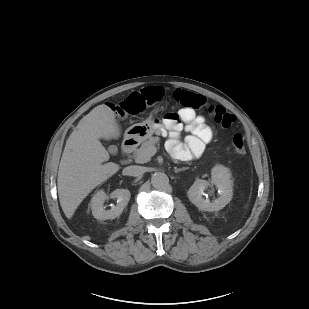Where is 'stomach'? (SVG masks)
Segmentation results:
<instances>
[{"label": "stomach", "mask_w": 309, "mask_h": 309, "mask_svg": "<svg viewBox=\"0 0 309 309\" xmlns=\"http://www.w3.org/2000/svg\"><path fill=\"white\" fill-rule=\"evenodd\" d=\"M153 133H154L153 119L152 117H150L142 123H137L130 126L125 131V137L134 139L136 141H144L150 138L153 135Z\"/></svg>", "instance_id": "obj_1"}]
</instances>
